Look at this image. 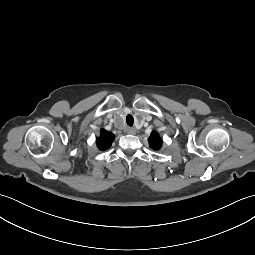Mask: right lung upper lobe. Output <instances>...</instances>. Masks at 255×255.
<instances>
[{
    "instance_id": "cb5924a9",
    "label": "right lung upper lobe",
    "mask_w": 255,
    "mask_h": 255,
    "mask_svg": "<svg viewBox=\"0 0 255 255\" xmlns=\"http://www.w3.org/2000/svg\"><path fill=\"white\" fill-rule=\"evenodd\" d=\"M114 140V135L104 129L101 130L100 136L97 138V146L100 150L108 149Z\"/></svg>"
}]
</instances>
